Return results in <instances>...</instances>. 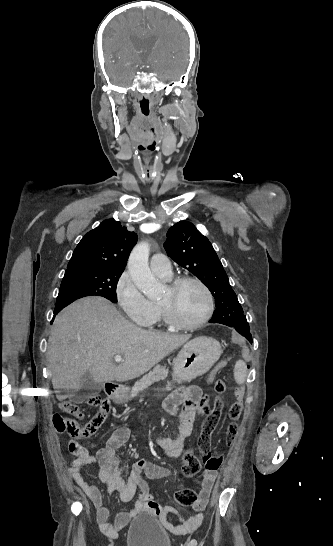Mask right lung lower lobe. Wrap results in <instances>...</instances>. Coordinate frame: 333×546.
Segmentation results:
<instances>
[{
	"label": "right lung lower lobe",
	"mask_w": 333,
	"mask_h": 546,
	"mask_svg": "<svg viewBox=\"0 0 333 546\" xmlns=\"http://www.w3.org/2000/svg\"><path fill=\"white\" fill-rule=\"evenodd\" d=\"M61 310H62V309H61ZM61 310H55V311H54V314H57V313H58L59 311H61Z\"/></svg>",
	"instance_id": "1"
}]
</instances>
